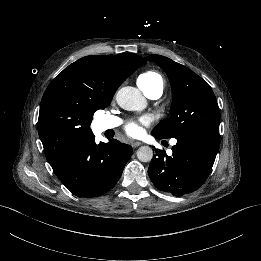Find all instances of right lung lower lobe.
<instances>
[{
    "label": "right lung lower lobe",
    "instance_id": "right-lung-lower-lobe-1",
    "mask_svg": "<svg viewBox=\"0 0 261 261\" xmlns=\"http://www.w3.org/2000/svg\"><path fill=\"white\" fill-rule=\"evenodd\" d=\"M132 153L130 145L116 139L98 145L93 139L52 168L72 194L92 198L114 187Z\"/></svg>",
    "mask_w": 261,
    "mask_h": 261
}]
</instances>
